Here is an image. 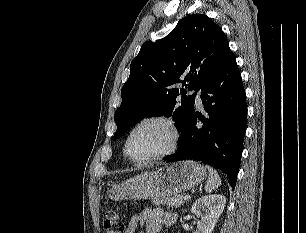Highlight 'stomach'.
Masks as SVG:
<instances>
[{
    "label": "stomach",
    "mask_w": 306,
    "mask_h": 233,
    "mask_svg": "<svg viewBox=\"0 0 306 233\" xmlns=\"http://www.w3.org/2000/svg\"><path fill=\"white\" fill-rule=\"evenodd\" d=\"M206 176V169L201 164L183 160L113 185L108 197L115 201L170 197L194 188Z\"/></svg>",
    "instance_id": "obj_1"
}]
</instances>
